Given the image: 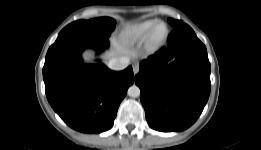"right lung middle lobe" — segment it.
<instances>
[{
	"label": "right lung middle lobe",
	"mask_w": 261,
	"mask_h": 150,
	"mask_svg": "<svg viewBox=\"0 0 261 150\" xmlns=\"http://www.w3.org/2000/svg\"><path fill=\"white\" fill-rule=\"evenodd\" d=\"M115 24V20L109 17L78 20L66 26L59 33L58 38L65 36L109 37Z\"/></svg>",
	"instance_id": "right-lung-middle-lobe-1"
}]
</instances>
